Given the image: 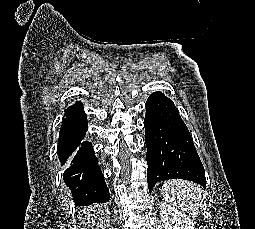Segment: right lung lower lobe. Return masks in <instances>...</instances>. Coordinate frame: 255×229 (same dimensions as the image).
I'll list each match as a JSON object with an SVG mask.
<instances>
[{
  "mask_svg": "<svg viewBox=\"0 0 255 229\" xmlns=\"http://www.w3.org/2000/svg\"><path fill=\"white\" fill-rule=\"evenodd\" d=\"M87 117L80 102L65 110L58 140L57 153L66 185L73 193L76 205H86L109 198V190L98 165L93 147L85 140Z\"/></svg>",
  "mask_w": 255,
  "mask_h": 229,
  "instance_id": "obj_1",
  "label": "right lung lower lobe"
}]
</instances>
